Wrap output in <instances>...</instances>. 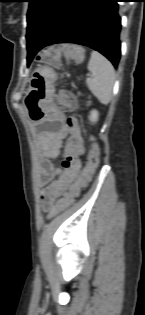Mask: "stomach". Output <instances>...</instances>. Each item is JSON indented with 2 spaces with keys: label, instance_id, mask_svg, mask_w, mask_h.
I'll return each mask as SVG.
<instances>
[{
  "label": "stomach",
  "instance_id": "0dacf381",
  "mask_svg": "<svg viewBox=\"0 0 145 315\" xmlns=\"http://www.w3.org/2000/svg\"><path fill=\"white\" fill-rule=\"evenodd\" d=\"M58 72H33L32 85L25 91V104L30 122H50V116H57V109L46 105L45 98L50 97V91L55 90V79Z\"/></svg>",
  "mask_w": 145,
  "mask_h": 315
}]
</instances>
